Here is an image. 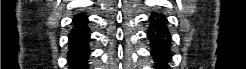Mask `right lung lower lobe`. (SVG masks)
<instances>
[{
  "label": "right lung lower lobe",
  "instance_id": "1",
  "mask_svg": "<svg viewBox=\"0 0 246 69\" xmlns=\"http://www.w3.org/2000/svg\"><path fill=\"white\" fill-rule=\"evenodd\" d=\"M87 16L78 14L73 21L74 27L69 36L68 62L71 69H88L90 34Z\"/></svg>",
  "mask_w": 246,
  "mask_h": 69
}]
</instances>
